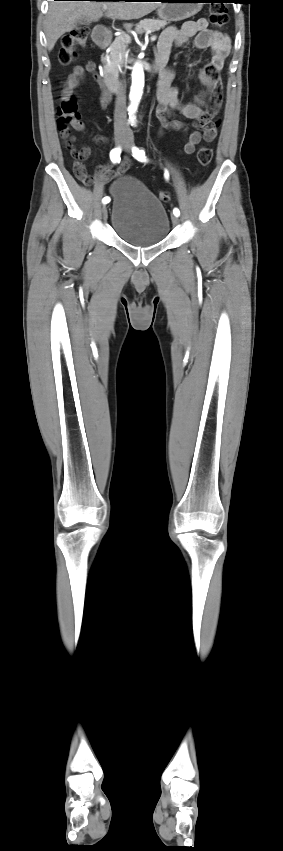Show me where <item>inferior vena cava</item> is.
Instances as JSON below:
<instances>
[{
	"instance_id": "obj_1",
	"label": "inferior vena cava",
	"mask_w": 283,
	"mask_h": 851,
	"mask_svg": "<svg viewBox=\"0 0 283 851\" xmlns=\"http://www.w3.org/2000/svg\"><path fill=\"white\" fill-rule=\"evenodd\" d=\"M125 121H126V94H125V87L122 84L119 87V90L116 94V100H115V110H114V129H115V131L125 133L127 131Z\"/></svg>"
}]
</instances>
